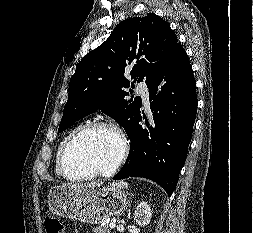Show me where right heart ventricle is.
<instances>
[{"label": "right heart ventricle", "mask_w": 253, "mask_h": 233, "mask_svg": "<svg viewBox=\"0 0 253 233\" xmlns=\"http://www.w3.org/2000/svg\"><path fill=\"white\" fill-rule=\"evenodd\" d=\"M82 127V125H78L75 128H73L71 131H69L64 138L62 139V141L60 142L57 150H56V155H55V171L57 173V175L59 176H63L60 170V157H61V153L63 151V148L65 146V144L67 143V141L71 138V136L80 128Z\"/></svg>", "instance_id": "1"}]
</instances>
